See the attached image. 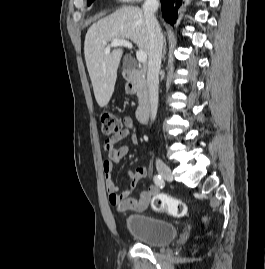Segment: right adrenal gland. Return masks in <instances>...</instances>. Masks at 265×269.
<instances>
[{"mask_svg": "<svg viewBox=\"0 0 265 269\" xmlns=\"http://www.w3.org/2000/svg\"><path fill=\"white\" fill-rule=\"evenodd\" d=\"M165 44H164V48H163V55L162 57L164 58L165 54H166V41L164 40Z\"/></svg>", "mask_w": 265, "mask_h": 269, "instance_id": "obj_1", "label": "right adrenal gland"}]
</instances>
